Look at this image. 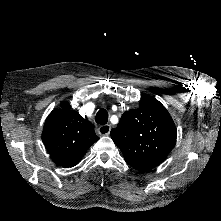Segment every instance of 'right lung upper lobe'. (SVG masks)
<instances>
[{
    "label": "right lung upper lobe",
    "mask_w": 221,
    "mask_h": 221,
    "mask_svg": "<svg viewBox=\"0 0 221 221\" xmlns=\"http://www.w3.org/2000/svg\"><path fill=\"white\" fill-rule=\"evenodd\" d=\"M61 107L54 109L48 116L42 140L52 160L58 166L68 168L77 165L99 137L88 120L68 110V102H62Z\"/></svg>",
    "instance_id": "obj_1"
}]
</instances>
